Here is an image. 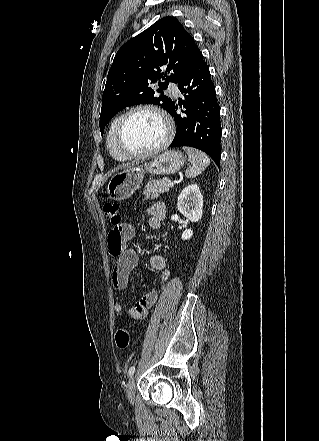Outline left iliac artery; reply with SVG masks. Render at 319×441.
<instances>
[{"label": "left iliac artery", "mask_w": 319, "mask_h": 441, "mask_svg": "<svg viewBox=\"0 0 319 441\" xmlns=\"http://www.w3.org/2000/svg\"><path fill=\"white\" fill-rule=\"evenodd\" d=\"M135 372V366H131L128 370V376H132Z\"/></svg>", "instance_id": "obj_1"}]
</instances>
